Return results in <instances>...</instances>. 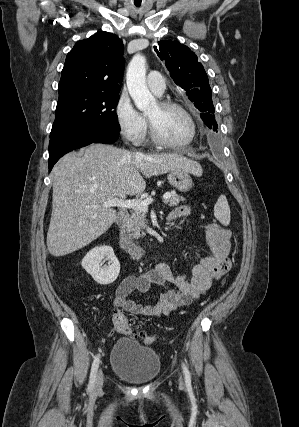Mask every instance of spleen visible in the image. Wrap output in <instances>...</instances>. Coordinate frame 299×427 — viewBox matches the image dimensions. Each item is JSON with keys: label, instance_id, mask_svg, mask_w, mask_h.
<instances>
[{"label": "spleen", "instance_id": "3e777b00", "mask_svg": "<svg viewBox=\"0 0 299 427\" xmlns=\"http://www.w3.org/2000/svg\"><path fill=\"white\" fill-rule=\"evenodd\" d=\"M214 215L217 220L224 226H228L230 223V207L228 205L227 199L224 195H221L215 206H214Z\"/></svg>", "mask_w": 299, "mask_h": 427}]
</instances>
